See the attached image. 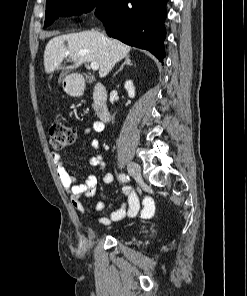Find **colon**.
Here are the masks:
<instances>
[{
	"mask_svg": "<svg viewBox=\"0 0 247 296\" xmlns=\"http://www.w3.org/2000/svg\"><path fill=\"white\" fill-rule=\"evenodd\" d=\"M48 133L50 145L55 150H61L75 142L74 130L59 119L50 123Z\"/></svg>",
	"mask_w": 247,
	"mask_h": 296,
	"instance_id": "colon-1",
	"label": "colon"
}]
</instances>
